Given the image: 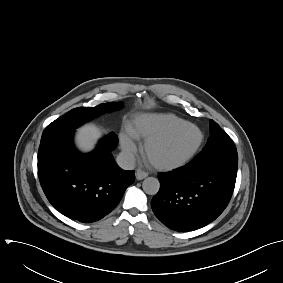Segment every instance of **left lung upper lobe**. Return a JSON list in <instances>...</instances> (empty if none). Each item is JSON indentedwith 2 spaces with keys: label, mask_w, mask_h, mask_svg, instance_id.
<instances>
[{
  "label": "left lung upper lobe",
  "mask_w": 283,
  "mask_h": 283,
  "mask_svg": "<svg viewBox=\"0 0 283 283\" xmlns=\"http://www.w3.org/2000/svg\"><path fill=\"white\" fill-rule=\"evenodd\" d=\"M210 137L191 164H219L238 167V155L231 138L213 120H210Z\"/></svg>",
  "instance_id": "1"
}]
</instances>
